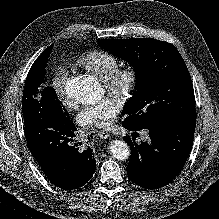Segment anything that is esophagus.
<instances>
[{"instance_id":"obj_1","label":"esophagus","mask_w":219,"mask_h":219,"mask_svg":"<svg viewBox=\"0 0 219 219\" xmlns=\"http://www.w3.org/2000/svg\"><path fill=\"white\" fill-rule=\"evenodd\" d=\"M96 136L102 140H105L110 137V134L106 131L100 130V131H97Z\"/></svg>"}]
</instances>
